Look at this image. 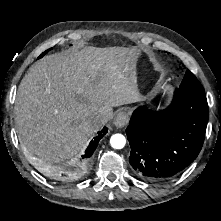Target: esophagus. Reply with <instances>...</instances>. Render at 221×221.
Returning <instances> with one entry per match:
<instances>
[{"mask_svg":"<svg viewBox=\"0 0 221 221\" xmlns=\"http://www.w3.org/2000/svg\"><path fill=\"white\" fill-rule=\"evenodd\" d=\"M129 118H130V115L128 112L121 111L115 116L113 120V124L118 128H122L128 124Z\"/></svg>","mask_w":221,"mask_h":221,"instance_id":"obj_1","label":"esophagus"}]
</instances>
